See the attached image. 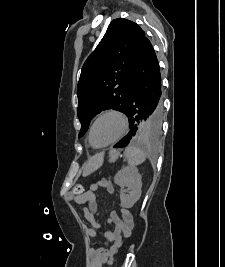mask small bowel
Segmentation results:
<instances>
[{
  "mask_svg": "<svg viewBox=\"0 0 225 267\" xmlns=\"http://www.w3.org/2000/svg\"><path fill=\"white\" fill-rule=\"evenodd\" d=\"M98 187H103L109 193L114 191V186L109 180H101L94 183L81 197L69 195V200H73L76 204L82 205V212L85 219L91 224V227L86 229V233L90 238L96 236V230L101 229V225L95 219V212L98 210V202L95 196V191ZM108 223L114 225L113 231L104 233L106 245L104 247H92L90 249L91 267H103L114 254L117 253L123 244V238L129 237L134 228V221L130 211L127 208L121 209V215L113 211L110 214Z\"/></svg>",
  "mask_w": 225,
  "mask_h": 267,
  "instance_id": "c3829d8e",
  "label": "small bowel"
}]
</instances>
